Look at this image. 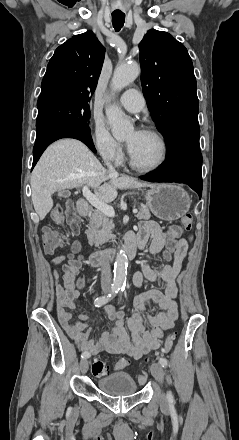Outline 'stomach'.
I'll return each mask as SVG.
<instances>
[{
    "instance_id": "obj_1",
    "label": "stomach",
    "mask_w": 239,
    "mask_h": 440,
    "mask_svg": "<svg viewBox=\"0 0 239 440\" xmlns=\"http://www.w3.org/2000/svg\"><path fill=\"white\" fill-rule=\"evenodd\" d=\"M145 200L152 214L167 222L182 218L189 212L191 206L187 192L175 184L152 186L151 190H147Z\"/></svg>"
}]
</instances>
